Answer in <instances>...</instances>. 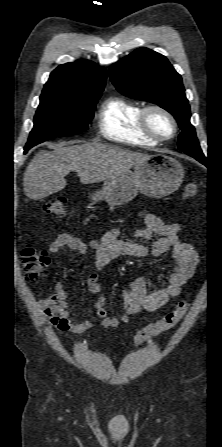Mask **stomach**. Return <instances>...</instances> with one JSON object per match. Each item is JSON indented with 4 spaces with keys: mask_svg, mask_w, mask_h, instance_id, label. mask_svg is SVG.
Wrapping results in <instances>:
<instances>
[{
    "mask_svg": "<svg viewBox=\"0 0 222 447\" xmlns=\"http://www.w3.org/2000/svg\"><path fill=\"white\" fill-rule=\"evenodd\" d=\"M184 179V169L172 157L150 155L137 164L134 171H124L104 181L92 200H105L111 206L124 205L140 192L148 197L161 198L175 192Z\"/></svg>",
    "mask_w": 222,
    "mask_h": 447,
    "instance_id": "obj_1",
    "label": "stomach"
}]
</instances>
